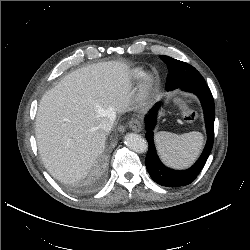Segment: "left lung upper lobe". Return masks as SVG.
Returning <instances> with one entry per match:
<instances>
[{"label":"left lung upper lobe","instance_id":"5c2ea615","mask_svg":"<svg viewBox=\"0 0 250 250\" xmlns=\"http://www.w3.org/2000/svg\"><path fill=\"white\" fill-rule=\"evenodd\" d=\"M160 58L166 63L169 70V74L166 80L167 91L190 83L204 82V79L201 74L191 65L190 68H192V71L185 72L188 69L180 66V64H189L164 55H161Z\"/></svg>","mask_w":250,"mask_h":250}]
</instances>
